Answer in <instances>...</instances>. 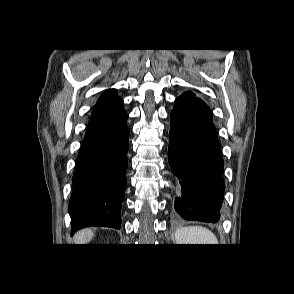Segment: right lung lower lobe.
<instances>
[{
    "label": "right lung lower lobe",
    "instance_id": "right-lung-lower-lobe-1",
    "mask_svg": "<svg viewBox=\"0 0 294 294\" xmlns=\"http://www.w3.org/2000/svg\"><path fill=\"white\" fill-rule=\"evenodd\" d=\"M127 117L122 99L93 109L73 175L71 234L88 226L121 227L130 132Z\"/></svg>",
    "mask_w": 294,
    "mask_h": 294
}]
</instances>
